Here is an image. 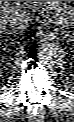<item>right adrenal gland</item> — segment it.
I'll return each mask as SVG.
<instances>
[{
	"mask_svg": "<svg viewBox=\"0 0 74 122\" xmlns=\"http://www.w3.org/2000/svg\"><path fill=\"white\" fill-rule=\"evenodd\" d=\"M6 34H20L22 33L21 31H16L14 29L9 30L8 32H5Z\"/></svg>",
	"mask_w": 74,
	"mask_h": 122,
	"instance_id": "obj_1",
	"label": "right adrenal gland"
}]
</instances>
